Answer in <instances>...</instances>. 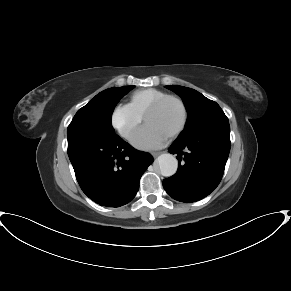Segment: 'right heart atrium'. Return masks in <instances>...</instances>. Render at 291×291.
<instances>
[{"mask_svg":"<svg viewBox=\"0 0 291 291\" xmlns=\"http://www.w3.org/2000/svg\"><path fill=\"white\" fill-rule=\"evenodd\" d=\"M141 122L142 116L129 104L116 105L111 114L113 128L125 139H131Z\"/></svg>","mask_w":291,"mask_h":291,"instance_id":"obj_1","label":"right heart atrium"}]
</instances>
